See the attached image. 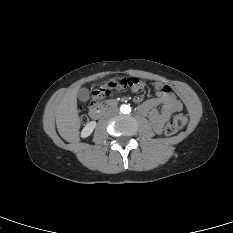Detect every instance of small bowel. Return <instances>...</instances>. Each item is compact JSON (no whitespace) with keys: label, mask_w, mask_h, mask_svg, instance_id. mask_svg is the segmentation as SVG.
I'll list each match as a JSON object with an SVG mask.
<instances>
[{"label":"small bowel","mask_w":233,"mask_h":233,"mask_svg":"<svg viewBox=\"0 0 233 233\" xmlns=\"http://www.w3.org/2000/svg\"><path fill=\"white\" fill-rule=\"evenodd\" d=\"M144 87L145 84L143 82L137 81L132 86V89L134 91H140L144 89ZM154 88L156 90V98L140 104L138 112L150 119L156 133H161L165 122L172 114L182 110V104L171 89L162 82H156ZM158 106H161V109H158Z\"/></svg>","instance_id":"obj_1"}]
</instances>
